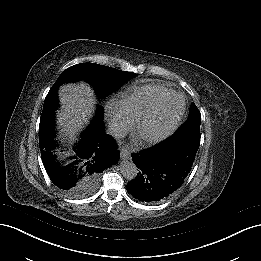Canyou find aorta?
<instances>
[{
	"instance_id": "aorta-1",
	"label": "aorta",
	"mask_w": 261,
	"mask_h": 261,
	"mask_svg": "<svg viewBox=\"0 0 261 261\" xmlns=\"http://www.w3.org/2000/svg\"><path fill=\"white\" fill-rule=\"evenodd\" d=\"M120 172L126 180L131 181L137 177L139 169L133 161L125 160L120 163Z\"/></svg>"
}]
</instances>
